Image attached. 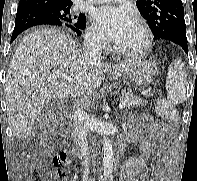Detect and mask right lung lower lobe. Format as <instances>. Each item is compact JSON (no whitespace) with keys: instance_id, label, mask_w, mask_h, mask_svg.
I'll list each match as a JSON object with an SVG mask.
<instances>
[{"instance_id":"1","label":"right lung lower lobe","mask_w":197,"mask_h":181,"mask_svg":"<svg viewBox=\"0 0 197 181\" xmlns=\"http://www.w3.org/2000/svg\"><path fill=\"white\" fill-rule=\"evenodd\" d=\"M38 25L67 26L71 28L77 35H81L83 29L76 28L70 24H64L55 15L51 14L45 8L19 3V7L15 19V29L13 31L11 42L24 30Z\"/></svg>"}]
</instances>
